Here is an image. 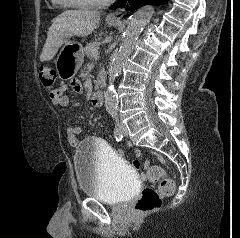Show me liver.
Here are the masks:
<instances>
[{"label": "liver", "mask_w": 240, "mask_h": 238, "mask_svg": "<svg viewBox=\"0 0 240 238\" xmlns=\"http://www.w3.org/2000/svg\"><path fill=\"white\" fill-rule=\"evenodd\" d=\"M99 21L98 11L67 10L61 13L49 28L40 61L53 59L58 49L72 36L85 37L91 34Z\"/></svg>", "instance_id": "6515ba94"}]
</instances>
